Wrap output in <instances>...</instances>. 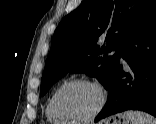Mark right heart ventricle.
<instances>
[{
    "mask_svg": "<svg viewBox=\"0 0 156 124\" xmlns=\"http://www.w3.org/2000/svg\"><path fill=\"white\" fill-rule=\"evenodd\" d=\"M56 91H57V89L50 95V97L47 101L46 109H45L46 119L48 120V122H50L52 124H67V122L58 118L52 110V99H53V96Z\"/></svg>",
    "mask_w": 156,
    "mask_h": 124,
    "instance_id": "obj_1",
    "label": "right heart ventricle"
}]
</instances>
